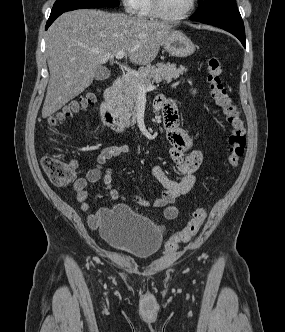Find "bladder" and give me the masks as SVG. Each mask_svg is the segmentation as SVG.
Instances as JSON below:
<instances>
[{"label":"bladder","instance_id":"1","mask_svg":"<svg viewBox=\"0 0 285 332\" xmlns=\"http://www.w3.org/2000/svg\"><path fill=\"white\" fill-rule=\"evenodd\" d=\"M99 232L113 249L135 259L157 254L165 235L163 226L122 204L105 212Z\"/></svg>","mask_w":285,"mask_h":332}]
</instances>
